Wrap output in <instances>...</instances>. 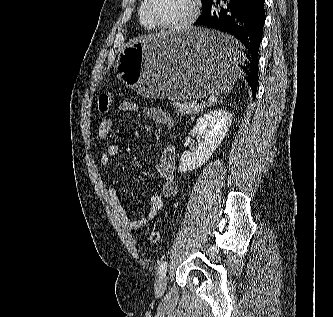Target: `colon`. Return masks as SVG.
I'll return each instance as SVG.
<instances>
[{"mask_svg":"<svg viewBox=\"0 0 333 317\" xmlns=\"http://www.w3.org/2000/svg\"><path fill=\"white\" fill-rule=\"evenodd\" d=\"M112 96L110 93H103L99 96L97 102V111L100 115H106L111 109ZM159 233L156 231H151L149 233V240L151 243L156 244L159 241Z\"/></svg>","mask_w":333,"mask_h":317,"instance_id":"obj_1","label":"colon"}]
</instances>
